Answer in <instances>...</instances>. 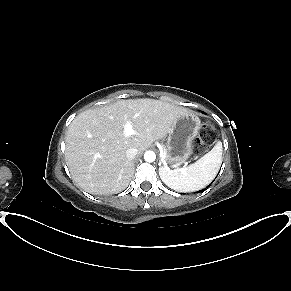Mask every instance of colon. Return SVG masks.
I'll use <instances>...</instances> for the list:
<instances>
[{
    "instance_id": "5ec220e1",
    "label": "colon",
    "mask_w": 291,
    "mask_h": 291,
    "mask_svg": "<svg viewBox=\"0 0 291 291\" xmlns=\"http://www.w3.org/2000/svg\"><path fill=\"white\" fill-rule=\"evenodd\" d=\"M213 128L210 125H204L199 136L193 142V151L196 155L204 153L213 143Z\"/></svg>"
}]
</instances>
